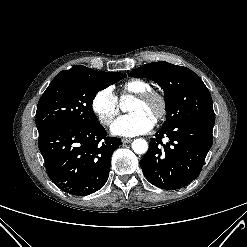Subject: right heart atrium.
Instances as JSON below:
<instances>
[{
    "label": "right heart atrium",
    "mask_w": 247,
    "mask_h": 247,
    "mask_svg": "<svg viewBox=\"0 0 247 247\" xmlns=\"http://www.w3.org/2000/svg\"><path fill=\"white\" fill-rule=\"evenodd\" d=\"M92 111L101 124L110 125L119 114V103L111 88L105 87L98 90L92 98Z\"/></svg>",
    "instance_id": "d8ad5b80"
}]
</instances>
